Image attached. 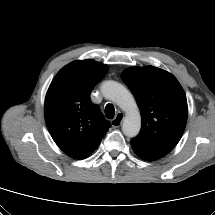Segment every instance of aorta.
Masks as SVG:
<instances>
[{
	"label": "aorta",
	"instance_id": "1",
	"mask_svg": "<svg viewBox=\"0 0 215 215\" xmlns=\"http://www.w3.org/2000/svg\"><path fill=\"white\" fill-rule=\"evenodd\" d=\"M101 91L106 99L115 102L124 112L122 131L127 137H135L141 128V115L133 95L116 81H105Z\"/></svg>",
	"mask_w": 215,
	"mask_h": 215
}]
</instances>
